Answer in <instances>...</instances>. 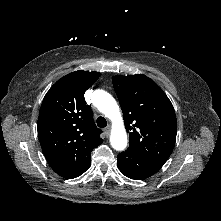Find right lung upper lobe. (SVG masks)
<instances>
[{
	"mask_svg": "<svg viewBox=\"0 0 221 221\" xmlns=\"http://www.w3.org/2000/svg\"><path fill=\"white\" fill-rule=\"evenodd\" d=\"M100 73L75 71L58 80L45 95L38 117V137L50 167L68 178L91 162L102 144L101 130L84 99Z\"/></svg>",
	"mask_w": 221,
	"mask_h": 221,
	"instance_id": "obj_1",
	"label": "right lung upper lobe"
}]
</instances>
